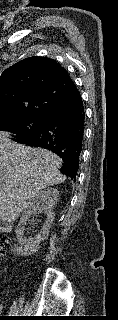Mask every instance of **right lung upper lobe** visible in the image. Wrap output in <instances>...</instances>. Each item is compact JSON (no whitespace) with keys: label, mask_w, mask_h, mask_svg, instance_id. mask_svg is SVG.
Listing matches in <instances>:
<instances>
[{"label":"right lung upper lobe","mask_w":118,"mask_h":320,"mask_svg":"<svg viewBox=\"0 0 118 320\" xmlns=\"http://www.w3.org/2000/svg\"><path fill=\"white\" fill-rule=\"evenodd\" d=\"M79 94L67 71L55 60L26 58L0 77V119H44L53 108Z\"/></svg>","instance_id":"right-lung-upper-lobe-1"}]
</instances>
